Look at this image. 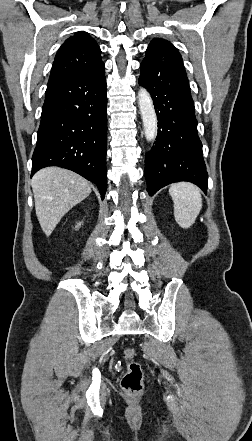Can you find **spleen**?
Segmentation results:
<instances>
[{
	"instance_id": "obj_1",
	"label": "spleen",
	"mask_w": 252,
	"mask_h": 441,
	"mask_svg": "<svg viewBox=\"0 0 252 441\" xmlns=\"http://www.w3.org/2000/svg\"><path fill=\"white\" fill-rule=\"evenodd\" d=\"M169 194L174 203V217L182 228L194 224L201 208L202 197L197 186L187 182L173 184Z\"/></svg>"
}]
</instances>
